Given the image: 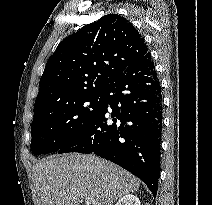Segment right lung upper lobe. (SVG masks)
<instances>
[{"label":"right lung upper lobe","instance_id":"cb5924a9","mask_svg":"<svg viewBox=\"0 0 212 205\" xmlns=\"http://www.w3.org/2000/svg\"><path fill=\"white\" fill-rule=\"evenodd\" d=\"M147 52L141 34L118 14L84 26L66 37L48 59L34 114L102 93L110 81Z\"/></svg>","mask_w":212,"mask_h":205}]
</instances>
